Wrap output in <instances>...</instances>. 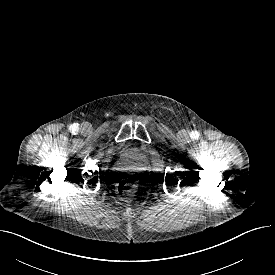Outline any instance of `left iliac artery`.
<instances>
[{"label":"left iliac artery","mask_w":275,"mask_h":275,"mask_svg":"<svg viewBox=\"0 0 275 275\" xmlns=\"http://www.w3.org/2000/svg\"><path fill=\"white\" fill-rule=\"evenodd\" d=\"M198 137H199V133H198L197 131H193V132L191 133V138H192V139H198Z\"/></svg>","instance_id":"obj_1"}]
</instances>
